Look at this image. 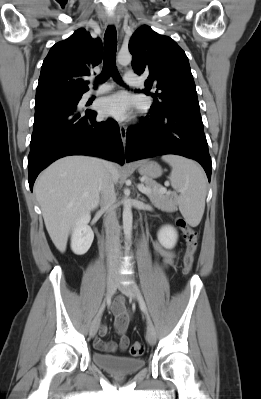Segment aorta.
<instances>
[{
	"instance_id": "1",
	"label": "aorta",
	"mask_w": 261,
	"mask_h": 399,
	"mask_svg": "<svg viewBox=\"0 0 261 399\" xmlns=\"http://www.w3.org/2000/svg\"><path fill=\"white\" fill-rule=\"evenodd\" d=\"M117 61L121 65H128L132 61V55L129 52H122L120 51L117 56ZM128 190H125V195L127 194ZM123 231L126 240V244L131 240L132 235V222H133V215L131 209V202L130 199L125 196L123 199Z\"/></svg>"
}]
</instances>
